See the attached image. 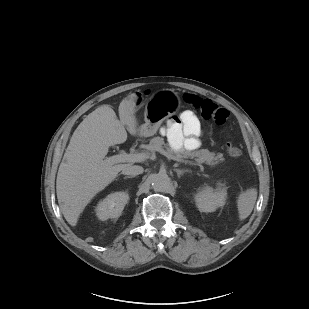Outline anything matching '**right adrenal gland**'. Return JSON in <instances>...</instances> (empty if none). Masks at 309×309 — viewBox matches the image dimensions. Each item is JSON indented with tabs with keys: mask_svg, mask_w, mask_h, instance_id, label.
Here are the masks:
<instances>
[{
	"mask_svg": "<svg viewBox=\"0 0 309 309\" xmlns=\"http://www.w3.org/2000/svg\"><path fill=\"white\" fill-rule=\"evenodd\" d=\"M134 176H126L124 179L133 178Z\"/></svg>",
	"mask_w": 309,
	"mask_h": 309,
	"instance_id": "obj_1",
	"label": "right adrenal gland"
}]
</instances>
